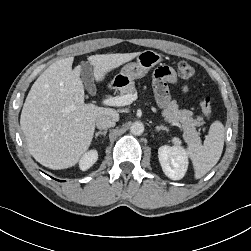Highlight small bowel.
<instances>
[{
    "label": "small bowel",
    "instance_id": "obj_1",
    "mask_svg": "<svg viewBox=\"0 0 251 251\" xmlns=\"http://www.w3.org/2000/svg\"><path fill=\"white\" fill-rule=\"evenodd\" d=\"M168 84L178 85L175 72L169 67H160L154 73L153 85L157 100L165 104L169 99ZM181 90L186 93L189 90L187 85H180Z\"/></svg>",
    "mask_w": 251,
    "mask_h": 251
}]
</instances>
